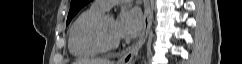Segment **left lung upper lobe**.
I'll return each instance as SVG.
<instances>
[{
  "mask_svg": "<svg viewBox=\"0 0 242 64\" xmlns=\"http://www.w3.org/2000/svg\"><path fill=\"white\" fill-rule=\"evenodd\" d=\"M89 2H91V0H72L66 24H68L72 20V18L78 13V11Z\"/></svg>",
  "mask_w": 242,
  "mask_h": 64,
  "instance_id": "1",
  "label": "left lung upper lobe"
}]
</instances>
